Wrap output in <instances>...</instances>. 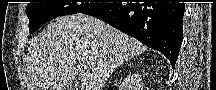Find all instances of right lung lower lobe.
I'll return each instance as SVG.
<instances>
[{
    "mask_svg": "<svg viewBox=\"0 0 216 90\" xmlns=\"http://www.w3.org/2000/svg\"><path fill=\"white\" fill-rule=\"evenodd\" d=\"M184 3H105L83 14L94 16L163 53L174 67L183 40Z\"/></svg>",
    "mask_w": 216,
    "mask_h": 90,
    "instance_id": "1",
    "label": "right lung lower lobe"
}]
</instances>
